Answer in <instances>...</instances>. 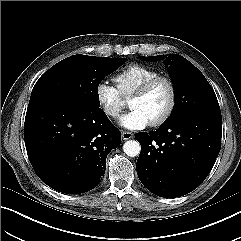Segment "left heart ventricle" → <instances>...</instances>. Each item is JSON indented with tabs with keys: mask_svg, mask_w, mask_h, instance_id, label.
<instances>
[{
	"mask_svg": "<svg viewBox=\"0 0 241 241\" xmlns=\"http://www.w3.org/2000/svg\"><path fill=\"white\" fill-rule=\"evenodd\" d=\"M170 100V91L165 83L157 84L143 97H131L129 107L139 110L149 122L158 118L167 108Z\"/></svg>",
	"mask_w": 241,
	"mask_h": 241,
	"instance_id": "left-heart-ventricle-1",
	"label": "left heart ventricle"
}]
</instances>
